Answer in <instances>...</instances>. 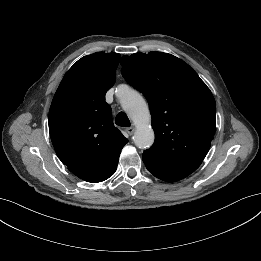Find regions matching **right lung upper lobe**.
I'll return each instance as SVG.
<instances>
[{"instance_id":"obj_1","label":"right lung upper lobe","mask_w":261,"mask_h":261,"mask_svg":"<svg viewBox=\"0 0 261 261\" xmlns=\"http://www.w3.org/2000/svg\"><path fill=\"white\" fill-rule=\"evenodd\" d=\"M120 55L97 52L79 59L60 83L49 111L57 156L77 177L92 183L111 177L128 142L114 126L105 93L115 83Z\"/></svg>"}]
</instances>
